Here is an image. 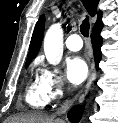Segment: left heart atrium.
<instances>
[{
    "label": "left heart atrium",
    "instance_id": "obj_1",
    "mask_svg": "<svg viewBox=\"0 0 118 123\" xmlns=\"http://www.w3.org/2000/svg\"><path fill=\"white\" fill-rule=\"evenodd\" d=\"M88 75V66L83 58L75 56L66 63V76L73 85L81 84Z\"/></svg>",
    "mask_w": 118,
    "mask_h": 123
}]
</instances>
